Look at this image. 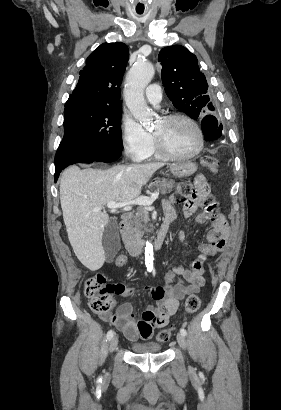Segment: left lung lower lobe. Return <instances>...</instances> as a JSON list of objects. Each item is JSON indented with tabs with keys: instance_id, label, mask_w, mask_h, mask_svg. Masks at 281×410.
<instances>
[{
	"instance_id": "0a47b994",
	"label": "left lung lower lobe",
	"mask_w": 281,
	"mask_h": 410,
	"mask_svg": "<svg viewBox=\"0 0 281 410\" xmlns=\"http://www.w3.org/2000/svg\"><path fill=\"white\" fill-rule=\"evenodd\" d=\"M201 127L204 137L208 141L218 139L221 136L222 126L218 123L216 117L212 115H207L202 119Z\"/></svg>"
}]
</instances>
